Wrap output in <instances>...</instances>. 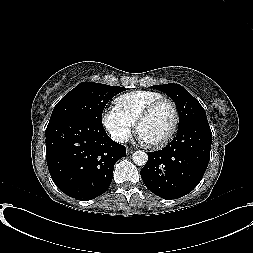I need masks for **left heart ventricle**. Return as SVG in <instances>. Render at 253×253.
Masks as SVG:
<instances>
[{"label":"left heart ventricle","instance_id":"obj_1","mask_svg":"<svg viewBox=\"0 0 253 253\" xmlns=\"http://www.w3.org/2000/svg\"><path fill=\"white\" fill-rule=\"evenodd\" d=\"M174 121L172 108L168 104L158 106L140 125L139 133L148 143L163 139L170 131Z\"/></svg>","mask_w":253,"mask_h":253}]
</instances>
